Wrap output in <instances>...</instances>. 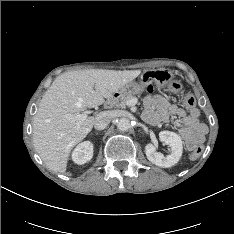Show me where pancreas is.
<instances>
[{
    "label": "pancreas",
    "instance_id": "1",
    "mask_svg": "<svg viewBox=\"0 0 234 234\" xmlns=\"http://www.w3.org/2000/svg\"><path fill=\"white\" fill-rule=\"evenodd\" d=\"M133 98H134L133 95L122 96V97H120V99L112 102L110 104V107L125 108L127 106L128 102Z\"/></svg>",
    "mask_w": 234,
    "mask_h": 234
}]
</instances>
